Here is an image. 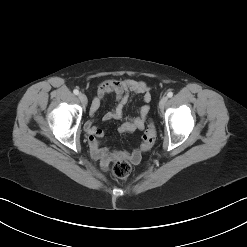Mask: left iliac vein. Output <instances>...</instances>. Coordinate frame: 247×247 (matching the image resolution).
<instances>
[{"label": "left iliac vein", "instance_id": "1", "mask_svg": "<svg viewBox=\"0 0 247 247\" xmlns=\"http://www.w3.org/2000/svg\"><path fill=\"white\" fill-rule=\"evenodd\" d=\"M168 101V98L166 96H163L161 99H160V102H159V108L161 110H163L166 106V103Z\"/></svg>", "mask_w": 247, "mask_h": 247}]
</instances>
